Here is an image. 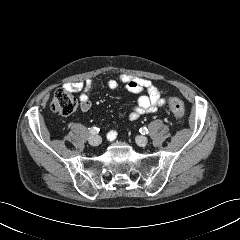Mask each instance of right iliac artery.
Listing matches in <instances>:
<instances>
[{
  "instance_id": "obj_1",
  "label": "right iliac artery",
  "mask_w": 240,
  "mask_h": 240,
  "mask_svg": "<svg viewBox=\"0 0 240 240\" xmlns=\"http://www.w3.org/2000/svg\"><path fill=\"white\" fill-rule=\"evenodd\" d=\"M91 134H97L99 132V128L97 127H91L89 128Z\"/></svg>"
}]
</instances>
